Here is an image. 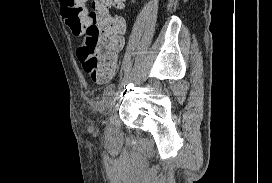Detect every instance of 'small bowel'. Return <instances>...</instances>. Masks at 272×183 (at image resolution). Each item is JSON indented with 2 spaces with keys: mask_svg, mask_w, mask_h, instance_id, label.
Returning <instances> with one entry per match:
<instances>
[{
  "mask_svg": "<svg viewBox=\"0 0 272 183\" xmlns=\"http://www.w3.org/2000/svg\"><path fill=\"white\" fill-rule=\"evenodd\" d=\"M58 3H59V5H60V9H61V12H62V15H63V9H62V6H61V2L58 0ZM116 70V69H115ZM115 74V71L108 77V78H106V79H104V80H100V79H98V78H94L93 76H92V78L94 79V81H96V82H98V83H104V82H107V81H109L112 77H113V75Z\"/></svg>",
  "mask_w": 272,
  "mask_h": 183,
  "instance_id": "small-bowel-1",
  "label": "small bowel"
}]
</instances>
